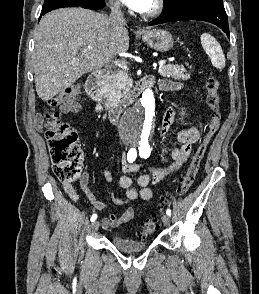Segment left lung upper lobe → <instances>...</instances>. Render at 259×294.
<instances>
[{"instance_id": "left-lung-upper-lobe-1", "label": "left lung upper lobe", "mask_w": 259, "mask_h": 294, "mask_svg": "<svg viewBox=\"0 0 259 294\" xmlns=\"http://www.w3.org/2000/svg\"><path fill=\"white\" fill-rule=\"evenodd\" d=\"M165 6L162 14H169L181 9H184L186 7H189L191 5L201 3V2H214L223 4V0H164Z\"/></svg>"}]
</instances>
